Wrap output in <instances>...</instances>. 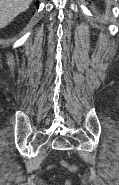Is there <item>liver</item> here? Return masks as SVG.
Returning <instances> with one entry per match:
<instances>
[{"mask_svg":"<svg viewBox=\"0 0 119 185\" xmlns=\"http://www.w3.org/2000/svg\"><path fill=\"white\" fill-rule=\"evenodd\" d=\"M33 0H0V28L6 27L20 13L26 11Z\"/></svg>","mask_w":119,"mask_h":185,"instance_id":"6515ba94","label":"liver"}]
</instances>
